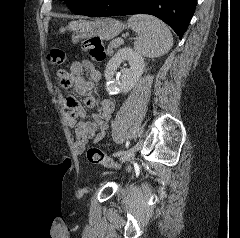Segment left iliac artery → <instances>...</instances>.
<instances>
[{
  "label": "left iliac artery",
  "instance_id": "left-iliac-artery-1",
  "mask_svg": "<svg viewBox=\"0 0 240 238\" xmlns=\"http://www.w3.org/2000/svg\"><path fill=\"white\" fill-rule=\"evenodd\" d=\"M138 132H133V134H132V143H131V145H130V147H127L123 152H116V153H114L113 155L114 156H120V155H129L133 150H135L136 149V147L137 146H139L140 145V142L137 140V138H138Z\"/></svg>",
  "mask_w": 240,
  "mask_h": 238
}]
</instances>
